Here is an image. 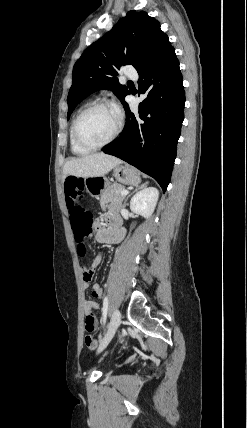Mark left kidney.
<instances>
[{
    "instance_id": "obj_1",
    "label": "left kidney",
    "mask_w": 247,
    "mask_h": 428,
    "mask_svg": "<svg viewBox=\"0 0 247 428\" xmlns=\"http://www.w3.org/2000/svg\"><path fill=\"white\" fill-rule=\"evenodd\" d=\"M159 191L155 187H145L137 192L130 201V209L136 214L149 218L156 207Z\"/></svg>"
}]
</instances>
